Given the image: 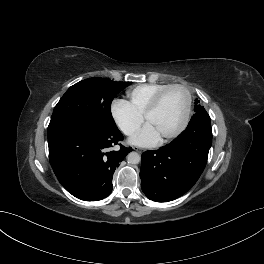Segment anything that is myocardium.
Masks as SVG:
<instances>
[{"label":"myocardium","mask_w":264,"mask_h":264,"mask_svg":"<svg viewBox=\"0 0 264 264\" xmlns=\"http://www.w3.org/2000/svg\"><path fill=\"white\" fill-rule=\"evenodd\" d=\"M172 89H181L182 91H184V93L186 95V104H185L183 117H182V120H181L179 126L173 132L163 136L162 141H169L171 139L176 138L177 136H179L184 131V129L186 128V126L188 124L190 112H191V105H192V97H191V94H190V91L188 90V88L184 85H181V84L168 85L167 87L163 88L161 91H159L156 94V96L150 102V104L148 105V107L146 108V110L143 114L144 120L147 121L148 117L154 111L157 110V108L159 107L162 99L167 94V92L172 90Z\"/></svg>","instance_id":"obj_1"}]
</instances>
